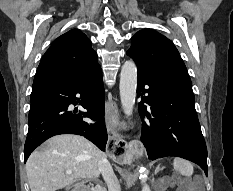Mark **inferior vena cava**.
<instances>
[{"label":"inferior vena cava","mask_w":233,"mask_h":191,"mask_svg":"<svg viewBox=\"0 0 233 191\" xmlns=\"http://www.w3.org/2000/svg\"><path fill=\"white\" fill-rule=\"evenodd\" d=\"M98 166L99 171L108 186V191H121L119 181L114 174L112 166L107 160L106 156L99 160Z\"/></svg>","instance_id":"1"}]
</instances>
